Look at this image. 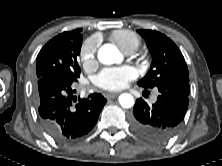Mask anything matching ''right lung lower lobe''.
Returning <instances> with one entry per match:
<instances>
[{"instance_id":"right-lung-lower-lobe-1","label":"right lung lower lobe","mask_w":222,"mask_h":166,"mask_svg":"<svg viewBox=\"0 0 222 166\" xmlns=\"http://www.w3.org/2000/svg\"><path fill=\"white\" fill-rule=\"evenodd\" d=\"M76 81L57 72L37 79L36 102L41 124L59 142H70L88 134L107 102L99 93L75 102L72 86Z\"/></svg>"}]
</instances>
